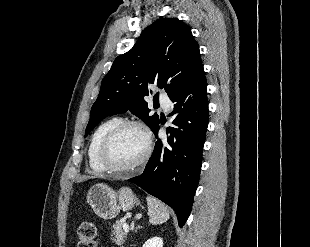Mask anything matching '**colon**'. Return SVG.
Returning a JSON list of instances; mask_svg holds the SVG:
<instances>
[{
	"mask_svg": "<svg viewBox=\"0 0 310 247\" xmlns=\"http://www.w3.org/2000/svg\"><path fill=\"white\" fill-rule=\"evenodd\" d=\"M78 247H96L97 228L91 221H84L78 227Z\"/></svg>",
	"mask_w": 310,
	"mask_h": 247,
	"instance_id": "colon-1",
	"label": "colon"
}]
</instances>
